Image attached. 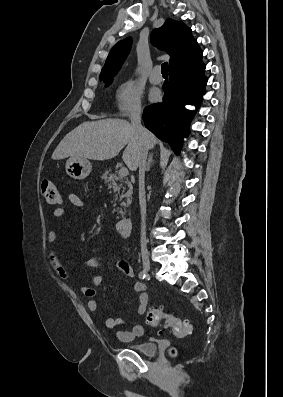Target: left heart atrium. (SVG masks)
<instances>
[{"instance_id":"1","label":"left heart atrium","mask_w":283,"mask_h":397,"mask_svg":"<svg viewBox=\"0 0 283 397\" xmlns=\"http://www.w3.org/2000/svg\"><path fill=\"white\" fill-rule=\"evenodd\" d=\"M161 98V93L158 90H154L150 93L151 101H158Z\"/></svg>"}]
</instances>
